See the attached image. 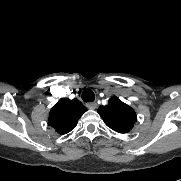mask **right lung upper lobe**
Wrapping results in <instances>:
<instances>
[{"label":"right lung upper lobe","mask_w":181,"mask_h":181,"mask_svg":"<svg viewBox=\"0 0 181 181\" xmlns=\"http://www.w3.org/2000/svg\"><path fill=\"white\" fill-rule=\"evenodd\" d=\"M87 111L77 99L61 98L50 110L48 125L59 134L70 132L82 114Z\"/></svg>","instance_id":"obj_1"}]
</instances>
